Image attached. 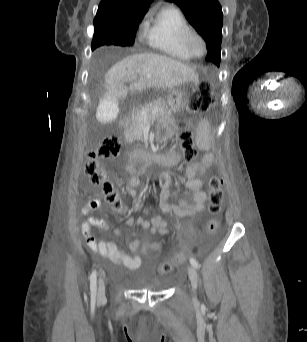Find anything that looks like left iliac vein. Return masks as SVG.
<instances>
[{
  "mask_svg": "<svg viewBox=\"0 0 307 342\" xmlns=\"http://www.w3.org/2000/svg\"><path fill=\"white\" fill-rule=\"evenodd\" d=\"M189 279L192 285L193 299L196 300V289L198 286V276L193 266L188 267Z\"/></svg>",
  "mask_w": 307,
  "mask_h": 342,
  "instance_id": "4c4485c4",
  "label": "left iliac vein"
}]
</instances>
